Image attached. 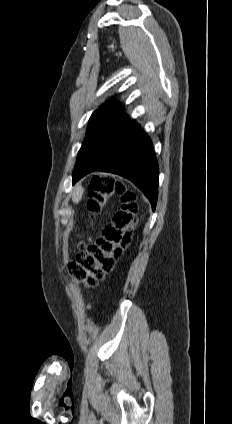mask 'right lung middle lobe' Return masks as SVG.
<instances>
[{"label": "right lung middle lobe", "instance_id": "right-lung-middle-lobe-1", "mask_svg": "<svg viewBox=\"0 0 232 424\" xmlns=\"http://www.w3.org/2000/svg\"><path fill=\"white\" fill-rule=\"evenodd\" d=\"M119 109L101 108L92 114L86 137L77 157L73 177L83 171L112 133L130 122L127 115L119 112Z\"/></svg>", "mask_w": 232, "mask_h": 424}]
</instances>
